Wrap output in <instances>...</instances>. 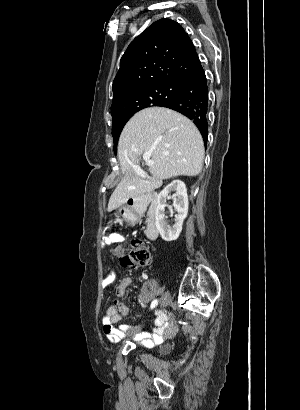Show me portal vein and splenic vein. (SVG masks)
<instances>
[{"instance_id":"1","label":"portal vein and splenic vein","mask_w":300,"mask_h":410,"mask_svg":"<svg viewBox=\"0 0 300 410\" xmlns=\"http://www.w3.org/2000/svg\"><path fill=\"white\" fill-rule=\"evenodd\" d=\"M151 152H147L143 155V160L146 162L147 165H152L154 162L150 159Z\"/></svg>"}]
</instances>
